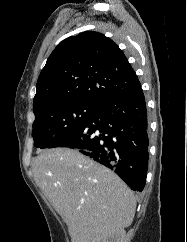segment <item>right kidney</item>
<instances>
[{"mask_svg": "<svg viewBox=\"0 0 187 242\" xmlns=\"http://www.w3.org/2000/svg\"><path fill=\"white\" fill-rule=\"evenodd\" d=\"M102 242H126V232L124 229L110 235L107 239Z\"/></svg>", "mask_w": 187, "mask_h": 242, "instance_id": "1", "label": "right kidney"}]
</instances>
